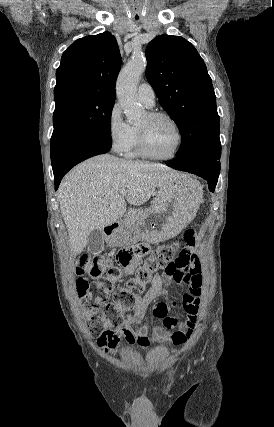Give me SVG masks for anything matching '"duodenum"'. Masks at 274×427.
Listing matches in <instances>:
<instances>
[{
  "label": "duodenum",
  "instance_id": "410a0bca",
  "mask_svg": "<svg viewBox=\"0 0 274 427\" xmlns=\"http://www.w3.org/2000/svg\"><path fill=\"white\" fill-rule=\"evenodd\" d=\"M118 227L117 223H112L105 228V232L107 235H112Z\"/></svg>",
  "mask_w": 274,
  "mask_h": 427
}]
</instances>
